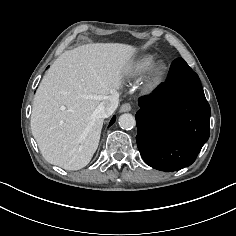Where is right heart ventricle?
I'll list each match as a JSON object with an SVG mask.
<instances>
[{"mask_svg": "<svg viewBox=\"0 0 236 236\" xmlns=\"http://www.w3.org/2000/svg\"><path fill=\"white\" fill-rule=\"evenodd\" d=\"M155 56L151 54H144L137 58L128 67L127 75L132 79H136L145 74L149 68L154 64Z\"/></svg>", "mask_w": 236, "mask_h": 236, "instance_id": "e07e8e85", "label": "right heart ventricle"}]
</instances>
